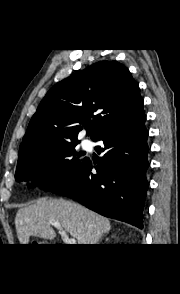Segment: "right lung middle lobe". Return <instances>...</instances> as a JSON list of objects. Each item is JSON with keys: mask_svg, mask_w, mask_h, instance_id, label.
<instances>
[{"mask_svg": "<svg viewBox=\"0 0 180 294\" xmlns=\"http://www.w3.org/2000/svg\"><path fill=\"white\" fill-rule=\"evenodd\" d=\"M72 142L48 147L35 152L27 159L18 162L16 181L32 180L29 187L42 185L45 191H51L69 181L88 160L81 158V152ZM53 168H49L55 165Z\"/></svg>", "mask_w": 180, "mask_h": 294, "instance_id": "dd1d6c3e", "label": "right lung middle lobe"}]
</instances>
